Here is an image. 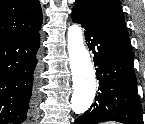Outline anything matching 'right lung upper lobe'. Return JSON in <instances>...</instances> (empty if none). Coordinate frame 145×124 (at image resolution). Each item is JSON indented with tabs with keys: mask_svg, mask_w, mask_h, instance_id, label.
I'll return each instance as SVG.
<instances>
[{
	"mask_svg": "<svg viewBox=\"0 0 145 124\" xmlns=\"http://www.w3.org/2000/svg\"><path fill=\"white\" fill-rule=\"evenodd\" d=\"M42 20L39 0H0V39L35 33Z\"/></svg>",
	"mask_w": 145,
	"mask_h": 124,
	"instance_id": "cb5924a9",
	"label": "right lung upper lobe"
}]
</instances>
